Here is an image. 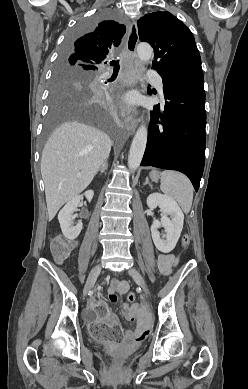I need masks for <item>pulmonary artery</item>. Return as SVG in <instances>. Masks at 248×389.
<instances>
[{
	"label": "pulmonary artery",
	"instance_id": "1",
	"mask_svg": "<svg viewBox=\"0 0 248 389\" xmlns=\"http://www.w3.org/2000/svg\"><path fill=\"white\" fill-rule=\"evenodd\" d=\"M152 81L157 86L160 94L162 95L163 94V80H162V77L160 75H153L152 76Z\"/></svg>",
	"mask_w": 248,
	"mask_h": 389
}]
</instances>
